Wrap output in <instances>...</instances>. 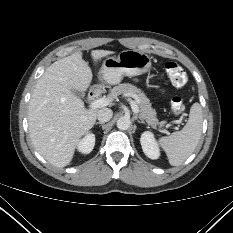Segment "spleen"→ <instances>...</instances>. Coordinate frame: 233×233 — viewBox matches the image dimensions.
I'll return each instance as SVG.
<instances>
[{"label": "spleen", "mask_w": 233, "mask_h": 233, "mask_svg": "<svg viewBox=\"0 0 233 233\" xmlns=\"http://www.w3.org/2000/svg\"><path fill=\"white\" fill-rule=\"evenodd\" d=\"M202 121V108L199 103H194L183 129L160 138V145L172 166L182 164L193 153L201 137Z\"/></svg>", "instance_id": "3e777b00"}]
</instances>
